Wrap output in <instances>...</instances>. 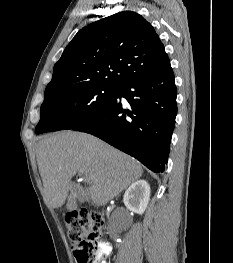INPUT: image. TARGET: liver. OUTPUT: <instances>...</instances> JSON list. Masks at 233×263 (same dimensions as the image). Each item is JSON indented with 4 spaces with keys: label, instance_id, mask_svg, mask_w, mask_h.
Returning <instances> with one entry per match:
<instances>
[{
    "label": "liver",
    "instance_id": "1",
    "mask_svg": "<svg viewBox=\"0 0 233 263\" xmlns=\"http://www.w3.org/2000/svg\"><path fill=\"white\" fill-rule=\"evenodd\" d=\"M36 157L45 199L53 208L65 203L76 173L89 181L88 188L79 189L81 194L97 206L118 196L143 173L141 164L130 156L81 132L45 136L37 144Z\"/></svg>",
    "mask_w": 233,
    "mask_h": 263
}]
</instances>
